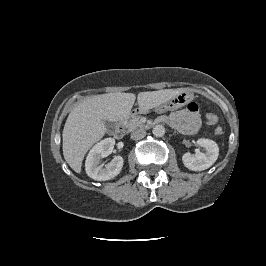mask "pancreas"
Listing matches in <instances>:
<instances>
[{
    "instance_id": "obj_1",
    "label": "pancreas",
    "mask_w": 266,
    "mask_h": 266,
    "mask_svg": "<svg viewBox=\"0 0 266 266\" xmlns=\"http://www.w3.org/2000/svg\"><path fill=\"white\" fill-rule=\"evenodd\" d=\"M126 126H127L129 131H132L138 127H140V128L144 127V124L140 121V116H134V117H132V119H130L127 122Z\"/></svg>"
}]
</instances>
